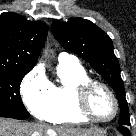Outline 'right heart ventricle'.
Listing matches in <instances>:
<instances>
[{
	"label": "right heart ventricle",
	"instance_id": "e07e8e85",
	"mask_svg": "<svg viewBox=\"0 0 136 136\" xmlns=\"http://www.w3.org/2000/svg\"><path fill=\"white\" fill-rule=\"evenodd\" d=\"M59 82L52 84L53 104L44 120L56 124H83V117L76 104L77 87L91 78L79 63H59Z\"/></svg>",
	"mask_w": 136,
	"mask_h": 136
}]
</instances>
